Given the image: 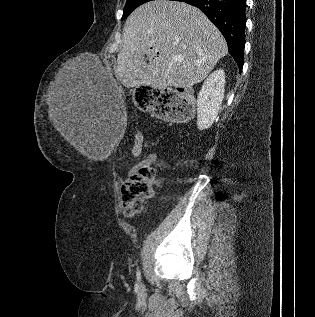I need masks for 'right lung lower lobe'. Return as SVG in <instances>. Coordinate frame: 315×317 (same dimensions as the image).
<instances>
[{
    "label": "right lung lower lobe",
    "instance_id": "obj_1",
    "mask_svg": "<svg viewBox=\"0 0 315 317\" xmlns=\"http://www.w3.org/2000/svg\"><path fill=\"white\" fill-rule=\"evenodd\" d=\"M188 3L202 10L221 31L228 44L230 55L239 70L244 63L246 0H176Z\"/></svg>",
    "mask_w": 315,
    "mask_h": 317
}]
</instances>
